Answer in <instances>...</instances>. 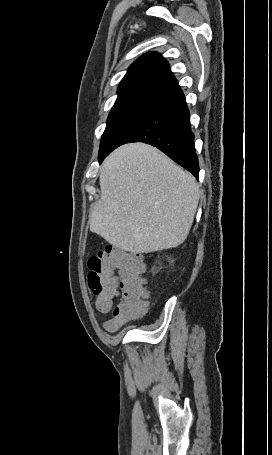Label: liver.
Wrapping results in <instances>:
<instances>
[{"mask_svg": "<svg viewBox=\"0 0 272 455\" xmlns=\"http://www.w3.org/2000/svg\"><path fill=\"white\" fill-rule=\"evenodd\" d=\"M100 200L90 230L131 253L182 244L191 229L200 191L195 178L152 146L126 144L104 161Z\"/></svg>", "mask_w": 272, "mask_h": 455, "instance_id": "1", "label": "liver"}]
</instances>
